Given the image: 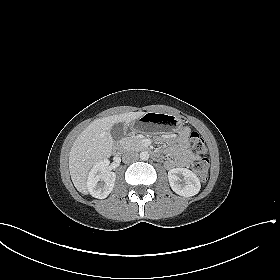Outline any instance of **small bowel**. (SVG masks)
Returning a JSON list of instances; mask_svg holds the SVG:
<instances>
[{"label":"small bowel","mask_w":280,"mask_h":280,"mask_svg":"<svg viewBox=\"0 0 280 280\" xmlns=\"http://www.w3.org/2000/svg\"><path fill=\"white\" fill-rule=\"evenodd\" d=\"M188 128H183L178 137L171 142L169 153L171 157L164 161L167 169L176 167H188L191 163L198 159V156L189 150Z\"/></svg>","instance_id":"small-bowel-1"}]
</instances>
